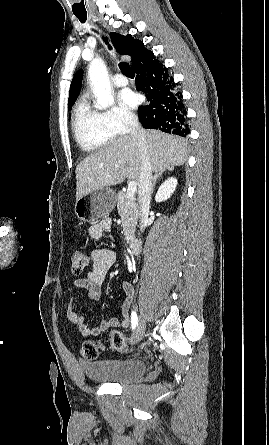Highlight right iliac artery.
<instances>
[{
    "instance_id": "right-iliac-artery-1",
    "label": "right iliac artery",
    "mask_w": 269,
    "mask_h": 445,
    "mask_svg": "<svg viewBox=\"0 0 269 445\" xmlns=\"http://www.w3.org/2000/svg\"><path fill=\"white\" fill-rule=\"evenodd\" d=\"M137 323H138V317H137V314H136L134 311H132V313H131V325H132V329H134V328L136 327Z\"/></svg>"
}]
</instances>
